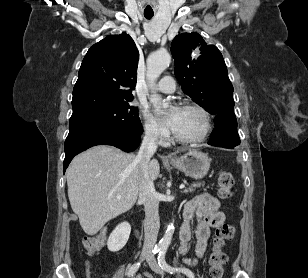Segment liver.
I'll use <instances>...</instances> for the list:
<instances>
[{
  "instance_id": "1",
  "label": "liver",
  "mask_w": 308,
  "mask_h": 278,
  "mask_svg": "<svg viewBox=\"0 0 308 278\" xmlns=\"http://www.w3.org/2000/svg\"><path fill=\"white\" fill-rule=\"evenodd\" d=\"M135 159L134 154L113 146L98 145L72 160L66 171L68 197L86 234H96L134 206L142 177ZM148 172L152 180L157 179L160 166L156 159L150 161Z\"/></svg>"
}]
</instances>
